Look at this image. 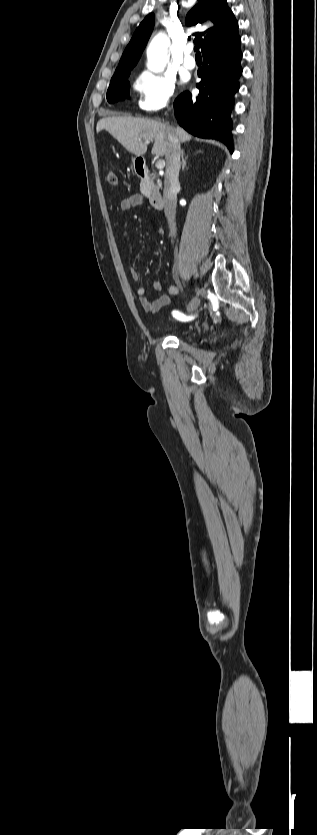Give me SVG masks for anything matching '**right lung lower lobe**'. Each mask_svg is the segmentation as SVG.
I'll return each mask as SVG.
<instances>
[{
    "label": "right lung lower lobe",
    "instance_id": "right-lung-lower-lobe-1",
    "mask_svg": "<svg viewBox=\"0 0 317 835\" xmlns=\"http://www.w3.org/2000/svg\"><path fill=\"white\" fill-rule=\"evenodd\" d=\"M240 43L237 34L208 45L202 51L204 62L198 70L199 95L192 97L184 92L174 101L180 126L195 136L220 140L231 152V111L242 74Z\"/></svg>",
    "mask_w": 317,
    "mask_h": 835
}]
</instances>
